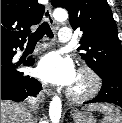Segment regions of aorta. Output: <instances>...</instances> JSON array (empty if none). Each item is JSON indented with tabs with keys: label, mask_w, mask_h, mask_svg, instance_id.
<instances>
[{
	"label": "aorta",
	"mask_w": 122,
	"mask_h": 123,
	"mask_svg": "<svg viewBox=\"0 0 122 123\" xmlns=\"http://www.w3.org/2000/svg\"><path fill=\"white\" fill-rule=\"evenodd\" d=\"M57 21H64L68 18V13L65 9L57 8L53 13ZM62 102L58 96H54L49 107V117L51 123H59L61 118Z\"/></svg>",
	"instance_id": "1"
}]
</instances>
